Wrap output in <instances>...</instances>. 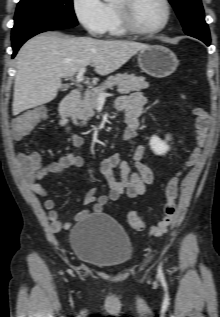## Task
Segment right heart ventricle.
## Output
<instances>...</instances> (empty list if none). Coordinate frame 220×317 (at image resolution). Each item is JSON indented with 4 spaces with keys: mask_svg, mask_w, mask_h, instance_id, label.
Here are the masks:
<instances>
[{
    "mask_svg": "<svg viewBox=\"0 0 220 317\" xmlns=\"http://www.w3.org/2000/svg\"><path fill=\"white\" fill-rule=\"evenodd\" d=\"M107 8V23H106V30L110 36L114 37H122L126 34V32L121 28L119 21L117 19L114 5L108 4L106 5Z\"/></svg>",
    "mask_w": 220,
    "mask_h": 317,
    "instance_id": "obj_1",
    "label": "right heart ventricle"
}]
</instances>
